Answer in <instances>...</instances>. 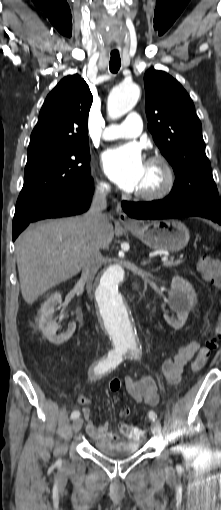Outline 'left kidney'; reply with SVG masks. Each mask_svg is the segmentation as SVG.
I'll return each instance as SVG.
<instances>
[{"instance_id": "5707ae66", "label": "left kidney", "mask_w": 221, "mask_h": 510, "mask_svg": "<svg viewBox=\"0 0 221 510\" xmlns=\"http://www.w3.org/2000/svg\"><path fill=\"white\" fill-rule=\"evenodd\" d=\"M196 299L195 291L188 281L179 276L173 277L167 303L171 310L176 313L177 319L170 318L165 313L164 319L166 322L176 330L181 329Z\"/></svg>"}]
</instances>
